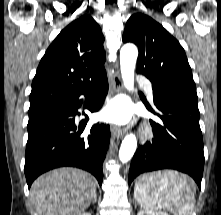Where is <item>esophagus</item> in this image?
Segmentation results:
<instances>
[{
    "label": "esophagus",
    "mask_w": 221,
    "mask_h": 215,
    "mask_svg": "<svg viewBox=\"0 0 221 215\" xmlns=\"http://www.w3.org/2000/svg\"><path fill=\"white\" fill-rule=\"evenodd\" d=\"M112 82H113V92L114 93H121L123 91V82H122V79L120 77V73L118 71H116L113 74ZM125 132H126V130L120 128L119 126H114L112 128V134L116 138H122L123 135L125 134Z\"/></svg>",
    "instance_id": "34e87169"
}]
</instances>
